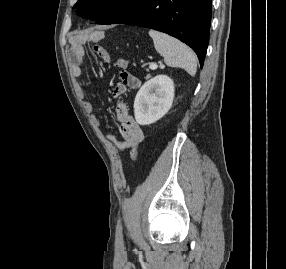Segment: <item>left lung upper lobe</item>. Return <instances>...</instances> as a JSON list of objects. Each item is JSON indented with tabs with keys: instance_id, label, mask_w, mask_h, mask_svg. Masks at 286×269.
Wrapping results in <instances>:
<instances>
[{
	"instance_id": "5c2ea615",
	"label": "left lung upper lobe",
	"mask_w": 286,
	"mask_h": 269,
	"mask_svg": "<svg viewBox=\"0 0 286 269\" xmlns=\"http://www.w3.org/2000/svg\"><path fill=\"white\" fill-rule=\"evenodd\" d=\"M145 0H78V14L96 19L99 24H113L140 7Z\"/></svg>"
}]
</instances>
